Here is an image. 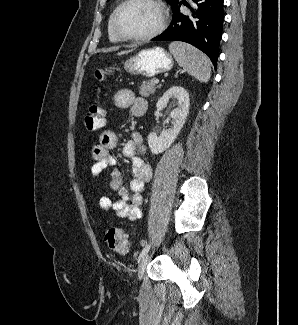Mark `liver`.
I'll use <instances>...</instances> for the list:
<instances>
[{
    "mask_svg": "<svg viewBox=\"0 0 298 325\" xmlns=\"http://www.w3.org/2000/svg\"><path fill=\"white\" fill-rule=\"evenodd\" d=\"M131 50H120V52H116V54H128Z\"/></svg>",
    "mask_w": 298,
    "mask_h": 325,
    "instance_id": "1",
    "label": "liver"
}]
</instances>
